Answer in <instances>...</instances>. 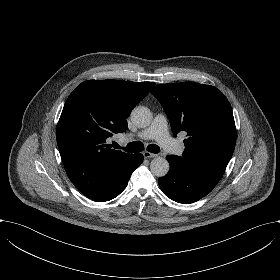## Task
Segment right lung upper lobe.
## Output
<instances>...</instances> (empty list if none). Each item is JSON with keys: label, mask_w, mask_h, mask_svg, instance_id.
Returning a JSON list of instances; mask_svg holds the SVG:
<instances>
[{"label": "right lung upper lobe", "mask_w": 280, "mask_h": 280, "mask_svg": "<svg viewBox=\"0 0 280 280\" xmlns=\"http://www.w3.org/2000/svg\"><path fill=\"white\" fill-rule=\"evenodd\" d=\"M155 85L152 82L89 80L65 102L57 145L66 173L83 195L96 199L136 154L111 149L106 139L128 129L127 117Z\"/></svg>", "instance_id": "cb5924a9"}]
</instances>
